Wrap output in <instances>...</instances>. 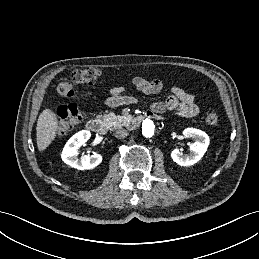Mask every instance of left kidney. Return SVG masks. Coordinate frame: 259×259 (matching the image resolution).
<instances>
[{
	"instance_id": "left-kidney-1",
	"label": "left kidney",
	"mask_w": 259,
	"mask_h": 259,
	"mask_svg": "<svg viewBox=\"0 0 259 259\" xmlns=\"http://www.w3.org/2000/svg\"><path fill=\"white\" fill-rule=\"evenodd\" d=\"M186 138H192L195 142L190 146V153L183 155L179 149H174L171 153V158L180 166H190L197 163L207 151L209 146L208 135L196 128H186L183 131Z\"/></svg>"
}]
</instances>
